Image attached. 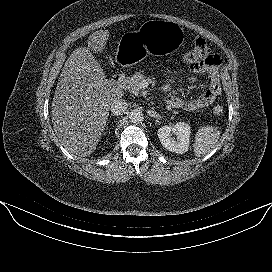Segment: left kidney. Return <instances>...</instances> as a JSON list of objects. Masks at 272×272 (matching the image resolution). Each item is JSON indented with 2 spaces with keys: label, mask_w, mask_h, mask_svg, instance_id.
<instances>
[{
  "label": "left kidney",
  "mask_w": 272,
  "mask_h": 272,
  "mask_svg": "<svg viewBox=\"0 0 272 272\" xmlns=\"http://www.w3.org/2000/svg\"><path fill=\"white\" fill-rule=\"evenodd\" d=\"M191 127L185 122H177L174 126H162L158 129V138L167 150L177 154L188 151Z\"/></svg>",
  "instance_id": "obj_1"
}]
</instances>
